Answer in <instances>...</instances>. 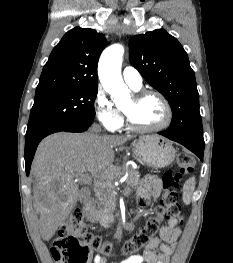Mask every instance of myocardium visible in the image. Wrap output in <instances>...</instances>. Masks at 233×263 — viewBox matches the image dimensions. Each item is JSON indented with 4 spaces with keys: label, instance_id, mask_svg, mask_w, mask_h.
<instances>
[{
    "label": "myocardium",
    "instance_id": "myocardium-1",
    "mask_svg": "<svg viewBox=\"0 0 233 263\" xmlns=\"http://www.w3.org/2000/svg\"><path fill=\"white\" fill-rule=\"evenodd\" d=\"M147 96H155L161 101L162 105L164 106L165 113H166L165 120L161 124L154 126V127H141V126L135 125L133 121L131 120L130 116L125 111H123V114L125 116L126 125L128 129H130L131 131L138 132V133L159 132V131H162L168 128L172 123L173 110H172V107L169 101L162 93L155 91V90L145 89V90L137 91L133 95L135 101H140Z\"/></svg>",
    "mask_w": 233,
    "mask_h": 263
}]
</instances>
